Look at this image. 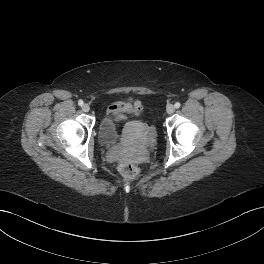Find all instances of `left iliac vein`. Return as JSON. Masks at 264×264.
Here are the masks:
<instances>
[{
	"label": "left iliac vein",
	"instance_id": "obj_1",
	"mask_svg": "<svg viewBox=\"0 0 264 264\" xmlns=\"http://www.w3.org/2000/svg\"><path fill=\"white\" fill-rule=\"evenodd\" d=\"M166 111H167L168 114H172V113H174V111H175V107H174V105L169 104V105L167 106V108H166Z\"/></svg>",
	"mask_w": 264,
	"mask_h": 264
}]
</instances>
